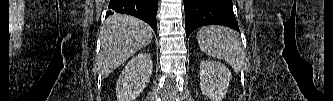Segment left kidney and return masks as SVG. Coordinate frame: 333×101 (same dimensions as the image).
<instances>
[{
    "mask_svg": "<svg viewBox=\"0 0 333 101\" xmlns=\"http://www.w3.org/2000/svg\"><path fill=\"white\" fill-rule=\"evenodd\" d=\"M232 79L230 70L220 62H200V88L202 94L212 101H221Z\"/></svg>",
    "mask_w": 333,
    "mask_h": 101,
    "instance_id": "left-kidney-1",
    "label": "left kidney"
}]
</instances>
